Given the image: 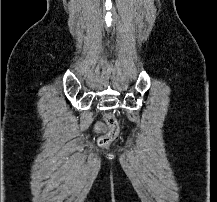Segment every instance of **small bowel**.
Segmentation results:
<instances>
[{"instance_id":"1","label":"small bowel","mask_w":217,"mask_h":202,"mask_svg":"<svg viewBox=\"0 0 217 202\" xmlns=\"http://www.w3.org/2000/svg\"><path fill=\"white\" fill-rule=\"evenodd\" d=\"M95 131L98 132V133L104 131V125L102 123H100V122L97 123L96 126H95Z\"/></svg>"}]
</instances>
